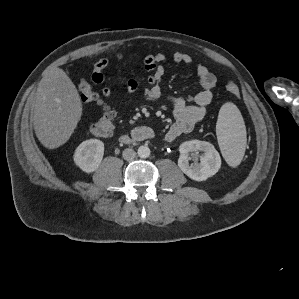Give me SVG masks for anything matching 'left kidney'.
I'll list each match as a JSON object with an SVG mask.
<instances>
[{
	"mask_svg": "<svg viewBox=\"0 0 299 299\" xmlns=\"http://www.w3.org/2000/svg\"><path fill=\"white\" fill-rule=\"evenodd\" d=\"M178 166L189 178L195 181H205L215 175L221 167V158L215 147L206 141L190 140L179 147ZM202 151L199 164H189V152Z\"/></svg>",
	"mask_w": 299,
	"mask_h": 299,
	"instance_id": "left-kidney-1",
	"label": "left kidney"
}]
</instances>
